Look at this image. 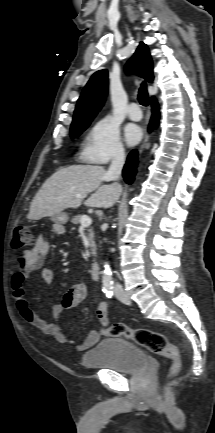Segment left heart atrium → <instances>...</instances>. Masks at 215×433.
<instances>
[{
	"label": "left heart atrium",
	"mask_w": 215,
	"mask_h": 433,
	"mask_svg": "<svg viewBox=\"0 0 215 433\" xmlns=\"http://www.w3.org/2000/svg\"><path fill=\"white\" fill-rule=\"evenodd\" d=\"M125 138L129 145H135L142 138V130L135 124H128L125 127Z\"/></svg>",
	"instance_id": "obj_1"
}]
</instances>
